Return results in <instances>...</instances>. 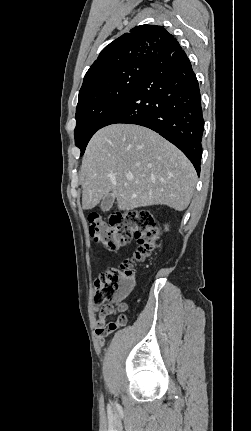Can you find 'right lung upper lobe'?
Masks as SVG:
<instances>
[{
	"label": "right lung upper lobe",
	"mask_w": 251,
	"mask_h": 431,
	"mask_svg": "<svg viewBox=\"0 0 251 431\" xmlns=\"http://www.w3.org/2000/svg\"><path fill=\"white\" fill-rule=\"evenodd\" d=\"M181 49L178 41L164 27L137 26L101 51L85 74L80 91L130 64L148 63L152 55L172 54Z\"/></svg>",
	"instance_id": "1"
}]
</instances>
